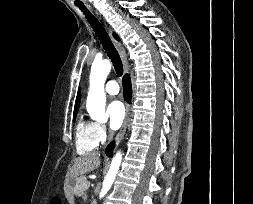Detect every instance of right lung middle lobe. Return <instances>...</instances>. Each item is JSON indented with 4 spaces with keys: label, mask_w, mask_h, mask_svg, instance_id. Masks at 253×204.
<instances>
[{
    "label": "right lung middle lobe",
    "mask_w": 253,
    "mask_h": 204,
    "mask_svg": "<svg viewBox=\"0 0 253 204\" xmlns=\"http://www.w3.org/2000/svg\"><path fill=\"white\" fill-rule=\"evenodd\" d=\"M76 115H77V114H74V119H75Z\"/></svg>",
    "instance_id": "dd1d6c3e"
}]
</instances>
